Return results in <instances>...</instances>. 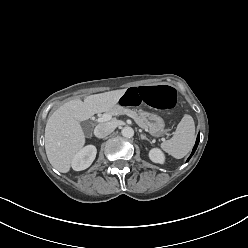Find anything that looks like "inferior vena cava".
<instances>
[{
    "label": "inferior vena cava",
    "instance_id": "602c4592",
    "mask_svg": "<svg viewBox=\"0 0 248 248\" xmlns=\"http://www.w3.org/2000/svg\"><path fill=\"white\" fill-rule=\"evenodd\" d=\"M115 127L111 123L98 124L95 127L94 134L97 138H105L114 131Z\"/></svg>",
    "mask_w": 248,
    "mask_h": 248
}]
</instances>
